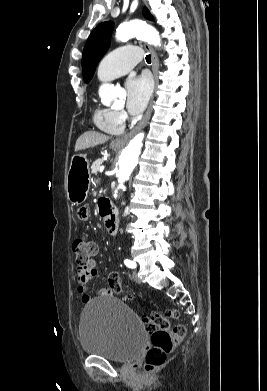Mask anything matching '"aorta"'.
I'll use <instances>...</instances> for the list:
<instances>
[{
  "instance_id": "obj_1",
  "label": "aorta",
  "mask_w": 267,
  "mask_h": 391,
  "mask_svg": "<svg viewBox=\"0 0 267 391\" xmlns=\"http://www.w3.org/2000/svg\"><path fill=\"white\" fill-rule=\"evenodd\" d=\"M115 37L117 41H127L133 37H137L151 45H161L158 31L142 21H131L121 24L116 30ZM119 96V90L112 84H103L99 88V97L104 103L117 102ZM143 137V133L136 135L121 152L118 160V169L116 171L117 188L114 193L115 198L124 187V183L129 179L138 163Z\"/></svg>"
}]
</instances>
